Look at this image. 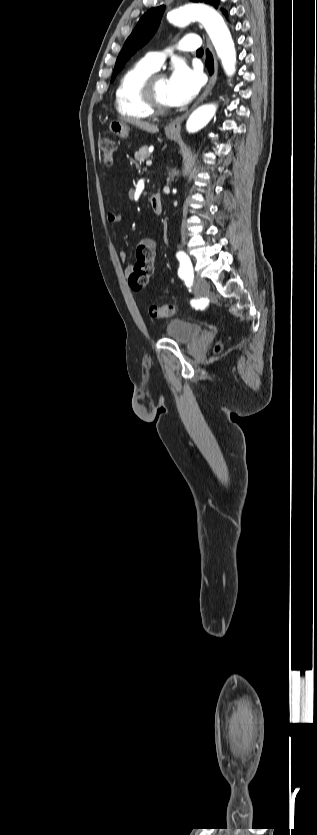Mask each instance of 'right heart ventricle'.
<instances>
[{
  "label": "right heart ventricle",
  "instance_id": "obj_1",
  "mask_svg": "<svg viewBox=\"0 0 317 835\" xmlns=\"http://www.w3.org/2000/svg\"><path fill=\"white\" fill-rule=\"evenodd\" d=\"M155 71L143 59L122 74L115 91V105L121 115L134 119H146L153 115L142 98L141 88L144 81Z\"/></svg>",
  "mask_w": 317,
  "mask_h": 835
}]
</instances>
